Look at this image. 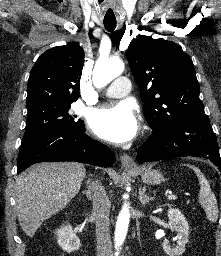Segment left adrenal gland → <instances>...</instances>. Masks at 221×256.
Here are the masks:
<instances>
[{"instance_id":"left-adrenal-gland-1","label":"left adrenal gland","mask_w":221,"mask_h":256,"mask_svg":"<svg viewBox=\"0 0 221 256\" xmlns=\"http://www.w3.org/2000/svg\"><path fill=\"white\" fill-rule=\"evenodd\" d=\"M146 188L144 187L140 192H139V201L142 203L143 206L148 204L150 201H153L154 197L148 196L146 193Z\"/></svg>"}]
</instances>
